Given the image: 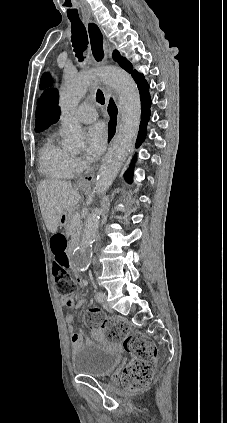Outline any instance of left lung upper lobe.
Wrapping results in <instances>:
<instances>
[{
  "label": "left lung upper lobe",
  "instance_id": "1",
  "mask_svg": "<svg viewBox=\"0 0 227 423\" xmlns=\"http://www.w3.org/2000/svg\"><path fill=\"white\" fill-rule=\"evenodd\" d=\"M113 59L127 72L132 74L135 82L143 75L139 74L129 61L121 57L118 51L113 52ZM58 92L48 91L42 94L41 99L37 101L36 109V127L35 131L40 132L45 130L50 124L55 123L59 119V107L57 106Z\"/></svg>",
  "mask_w": 227,
  "mask_h": 423
}]
</instances>
